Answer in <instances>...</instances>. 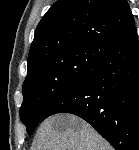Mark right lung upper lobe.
<instances>
[{"instance_id": "1", "label": "right lung upper lobe", "mask_w": 139, "mask_h": 150, "mask_svg": "<svg viewBox=\"0 0 139 150\" xmlns=\"http://www.w3.org/2000/svg\"><path fill=\"white\" fill-rule=\"evenodd\" d=\"M133 25L127 0H58L35 30L28 72L62 51L110 46Z\"/></svg>"}]
</instances>
